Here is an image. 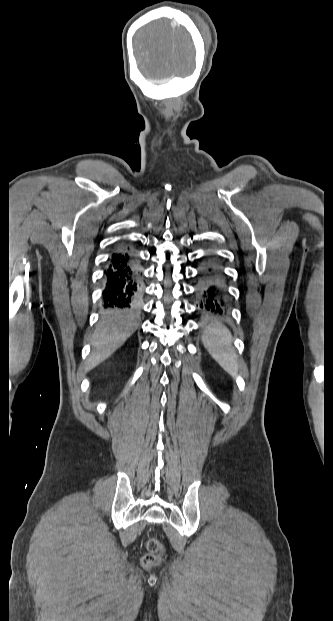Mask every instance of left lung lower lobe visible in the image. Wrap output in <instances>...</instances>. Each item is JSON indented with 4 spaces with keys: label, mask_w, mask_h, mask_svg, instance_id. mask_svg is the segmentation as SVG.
I'll return each instance as SVG.
<instances>
[{
    "label": "left lung lower lobe",
    "mask_w": 333,
    "mask_h": 621,
    "mask_svg": "<svg viewBox=\"0 0 333 621\" xmlns=\"http://www.w3.org/2000/svg\"><path fill=\"white\" fill-rule=\"evenodd\" d=\"M197 278V307L205 315H226L228 303L224 290L225 279L216 254L204 257Z\"/></svg>",
    "instance_id": "left-lung-lower-lobe-1"
}]
</instances>
